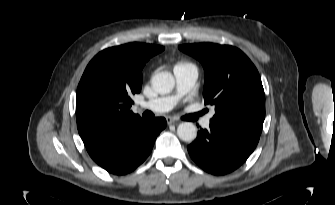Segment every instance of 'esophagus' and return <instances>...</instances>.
Returning a JSON list of instances; mask_svg holds the SVG:
<instances>
[{
	"mask_svg": "<svg viewBox=\"0 0 335 205\" xmlns=\"http://www.w3.org/2000/svg\"><path fill=\"white\" fill-rule=\"evenodd\" d=\"M166 121H167L168 124H173V123L177 122V119L174 118V117L169 116V117L166 118Z\"/></svg>",
	"mask_w": 335,
	"mask_h": 205,
	"instance_id": "obj_1",
	"label": "esophagus"
}]
</instances>
